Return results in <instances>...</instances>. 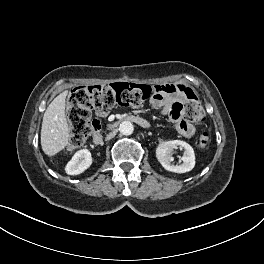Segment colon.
<instances>
[{
	"instance_id": "obj_1",
	"label": "colon",
	"mask_w": 264,
	"mask_h": 264,
	"mask_svg": "<svg viewBox=\"0 0 264 264\" xmlns=\"http://www.w3.org/2000/svg\"><path fill=\"white\" fill-rule=\"evenodd\" d=\"M178 90L183 95L182 115L188 122L201 124L205 121V112L197 95L183 85L149 86L128 82L106 85L77 86L68 97L67 116L70 124V150L81 147L92 131L100 127L98 119H92V111L106 112L117 106L140 107L146 101L158 98L165 93ZM210 141L207 132L199 136L198 144L205 148Z\"/></svg>"
}]
</instances>
